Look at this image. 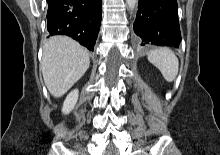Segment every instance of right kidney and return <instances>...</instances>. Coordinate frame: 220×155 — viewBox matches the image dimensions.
Wrapping results in <instances>:
<instances>
[{
	"label": "right kidney",
	"instance_id": "obj_1",
	"mask_svg": "<svg viewBox=\"0 0 220 155\" xmlns=\"http://www.w3.org/2000/svg\"><path fill=\"white\" fill-rule=\"evenodd\" d=\"M78 93H79L78 90L75 89V90L71 91L67 95V97H66V99H65V101L63 103V108H62V112L64 114H68L69 112L72 111V109L74 108L75 104L77 103Z\"/></svg>",
	"mask_w": 220,
	"mask_h": 155
}]
</instances>
